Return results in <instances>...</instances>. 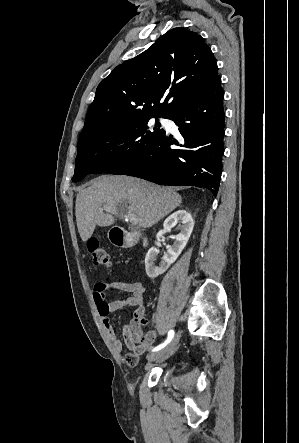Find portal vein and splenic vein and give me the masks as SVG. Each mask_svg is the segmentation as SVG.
<instances>
[{
    "instance_id": "obj_1",
    "label": "portal vein and splenic vein",
    "mask_w": 299,
    "mask_h": 443,
    "mask_svg": "<svg viewBox=\"0 0 299 443\" xmlns=\"http://www.w3.org/2000/svg\"><path fill=\"white\" fill-rule=\"evenodd\" d=\"M106 212H115L114 210H111V209H109V208H106V209H104ZM122 216H124L125 218H127L130 222H131V224H133V225H136V224H138V218H137V216L136 215H134V214H126V215H122Z\"/></svg>"
}]
</instances>
